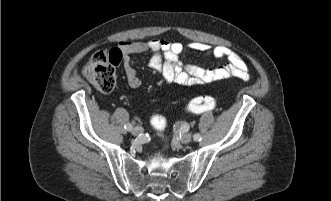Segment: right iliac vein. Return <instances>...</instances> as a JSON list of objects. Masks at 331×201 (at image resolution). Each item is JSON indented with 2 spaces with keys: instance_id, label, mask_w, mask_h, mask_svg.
Returning <instances> with one entry per match:
<instances>
[{
  "instance_id": "1",
  "label": "right iliac vein",
  "mask_w": 331,
  "mask_h": 201,
  "mask_svg": "<svg viewBox=\"0 0 331 201\" xmlns=\"http://www.w3.org/2000/svg\"><path fill=\"white\" fill-rule=\"evenodd\" d=\"M143 132V128L140 126H136L133 130H132V134L133 135H139Z\"/></svg>"
}]
</instances>
